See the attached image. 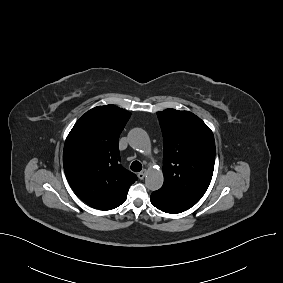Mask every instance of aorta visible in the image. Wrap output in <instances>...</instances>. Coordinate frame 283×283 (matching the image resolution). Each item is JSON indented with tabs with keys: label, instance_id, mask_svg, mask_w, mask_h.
Wrapping results in <instances>:
<instances>
[{
	"label": "aorta",
	"instance_id": "1",
	"mask_svg": "<svg viewBox=\"0 0 283 283\" xmlns=\"http://www.w3.org/2000/svg\"><path fill=\"white\" fill-rule=\"evenodd\" d=\"M130 146L140 152H149L151 143L148 134L141 128H134L128 134ZM163 173L160 170L150 168L145 177V186L151 190L156 191L163 185Z\"/></svg>",
	"mask_w": 283,
	"mask_h": 283
}]
</instances>
